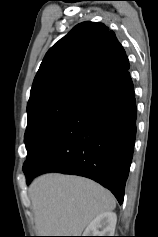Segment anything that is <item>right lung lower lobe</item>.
Segmentation results:
<instances>
[{
    "instance_id": "obj_1",
    "label": "right lung lower lobe",
    "mask_w": 158,
    "mask_h": 237,
    "mask_svg": "<svg viewBox=\"0 0 158 237\" xmlns=\"http://www.w3.org/2000/svg\"><path fill=\"white\" fill-rule=\"evenodd\" d=\"M136 101L130 73L101 88L41 143L24 170L27 183L46 172L80 175L124 199L136 137Z\"/></svg>"
}]
</instances>
